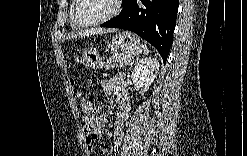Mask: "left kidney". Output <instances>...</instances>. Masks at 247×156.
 <instances>
[{
  "label": "left kidney",
  "mask_w": 247,
  "mask_h": 156,
  "mask_svg": "<svg viewBox=\"0 0 247 156\" xmlns=\"http://www.w3.org/2000/svg\"><path fill=\"white\" fill-rule=\"evenodd\" d=\"M158 69L159 61L154 57L144 58L134 67L131 78L134 84L141 89L142 96L154 82Z\"/></svg>",
  "instance_id": "left-kidney-1"
}]
</instances>
